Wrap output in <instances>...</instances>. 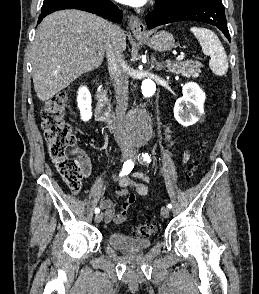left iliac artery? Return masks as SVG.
<instances>
[{
    "mask_svg": "<svg viewBox=\"0 0 259 294\" xmlns=\"http://www.w3.org/2000/svg\"><path fill=\"white\" fill-rule=\"evenodd\" d=\"M139 161L141 163H143V162H148L149 163V162H151V158H150L148 153H142V155L139 158ZM167 207L170 209V208H172V205L168 204Z\"/></svg>",
    "mask_w": 259,
    "mask_h": 294,
    "instance_id": "1",
    "label": "left iliac artery"
}]
</instances>
